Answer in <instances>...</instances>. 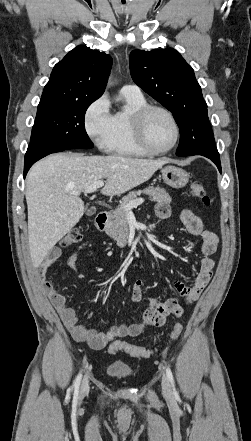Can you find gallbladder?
I'll return each mask as SVG.
<instances>
[{"mask_svg": "<svg viewBox=\"0 0 251 441\" xmlns=\"http://www.w3.org/2000/svg\"><path fill=\"white\" fill-rule=\"evenodd\" d=\"M95 212H96V208H95V207H91V208L88 210L87 214H88V215H92V214H94Z\"/></svg>", "mask_w": 251, "mask_h": 441, "instance_id": "gallbladder-1", "label": "gallbladder"}]
</instances>
